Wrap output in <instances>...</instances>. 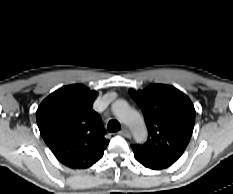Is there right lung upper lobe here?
Returning <instances> with one entry per match:
<instances>
[{"instance_id": "obj_1", "label": "right lung upper lobe", "mask_w": 233, "mask_h": 194, "mask_svg": "<svg viewBox=\"0 0 233 194\" xmlns=\"http://www.w3.org/2000/svg\"><path fill=\"white\" fill-rule=\"evenodd\" d=\"M96 94L81 84L64 86L44 99L37 110L44 141L70 168L92 166L109 143L100 115L92 110Z\"/></svg>"}]
</instances>
